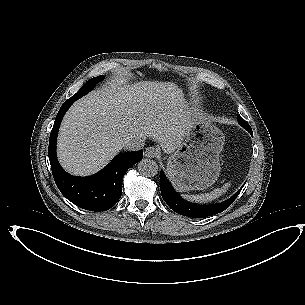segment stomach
<instances>
[{"mask_svg": "<svg viewBox=\"0 0 305 305\" xmlns=\"http://www.w3.org/2000/svg\"><path fill=\"white\" fill-rule=\"evenodd\" d=\"M223 132L203 117H195L184 140L167 160L166 173L178 192L205 190L219 177Z\"/></svg>", "mask_w": 305, "mask_h": 305, "instance_id": "1", "label": "stomach"}]
</instances>
